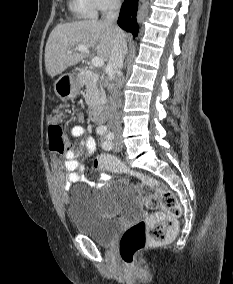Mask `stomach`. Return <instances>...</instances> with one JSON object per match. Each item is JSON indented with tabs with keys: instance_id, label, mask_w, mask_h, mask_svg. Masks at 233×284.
Returning a JSON list of instances; mask_svg holds the SVG:
<instances>
[{
	"instance_id": "0dacf381",
	"label": "stomach",
	"mask_w": 233,
	"mask_h": 284,
	"mask_svg": "<svg viewBox=\"0 0 233 284\" xmlns=\"http://www.w3.org/2000/svg\"><path fill=\"white\" fill-rule=\"evenodd\" d=\"M81 85L82 82L79 76L65 74L56 80L54 91L59 98L67 100L74 98L78 94Z\"/></svg>"
}]
</instances>
